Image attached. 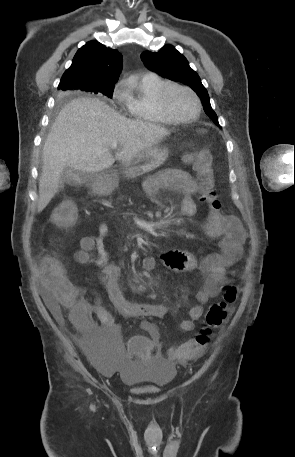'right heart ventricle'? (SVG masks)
<instances>
[{
  "label": "right heart ventricle",
  "instance_id": "1",
  "mask_svg": "<svg viewBox=\"0 0 295 457\" xmlns=\"http://www.w3.org/2000/svg\"><path fill=\"white\" fill-rule=\"evenodd\" d=\"M169 83L157 75L149 74L137 81L132 90L126 93V108L129 115L143 123L168 124L172 122L158 105L160 89Z\"/></svg>",
  "mask_w": 295,
  "mask_h": 457
}]
</instances>
